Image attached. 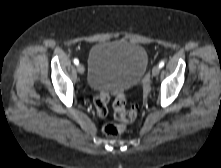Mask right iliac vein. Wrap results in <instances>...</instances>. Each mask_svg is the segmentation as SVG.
Here are the masks:
<instances>
[{
  "label": "right iliac vein",
  "mask_w": 221,
  "mask_h": 168,
  "mask_svg": "<svg viewBox=\"0 0 221 168\" xmlns=\"http://www.w3.org/2000/svg\"><path fill=\"white\" fill-rule=\"evenodd\" d=\"M77 71L80 73V74H83L85 72V68L83 66V64H78L77 65Z\"/></svg>",
  "instance_id": "1"
}]
</instances>
